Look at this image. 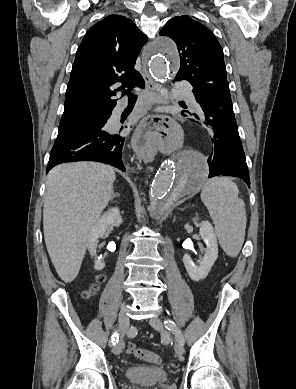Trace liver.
I'll return each instance as SVG.
<instances>
[{
  "label": "liver",
  "mask_w": 296,
  "mask_h": 389,
  "mask_svg": "<svg viewBox=\"0 0 296 389\" xmlns=\"http://www.w3.org/2000/svg\"><path fill=\"white\" fill-rule=\"evenodd\" d=\"M115 172L97 162L64 163L47 176L43 206L44 239L59 277L78 275L92 227L113 195Z\"/></svg>",
  "instance_id": "1"
}]
</instances>
